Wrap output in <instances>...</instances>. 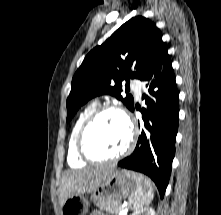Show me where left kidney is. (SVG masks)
I'll use <instances>...</instances> for the list:
<instances>
[{
	"mask_svg": "<svg viewBox=\"0 0 221 215\" xmlns=\"http://www.w3.org/2000/svg\"><path fill=\"white\" fill-rule=\"evenodd\" d=\"M131 215H155V210L153 208L147 207L135 211Z\"/></svg>",
	"mask_w": 221,
	"mask_h": 215,
	"instance_id": "5707ae66",
	"label": "left kidney"
}]
</instances>
